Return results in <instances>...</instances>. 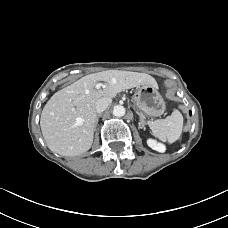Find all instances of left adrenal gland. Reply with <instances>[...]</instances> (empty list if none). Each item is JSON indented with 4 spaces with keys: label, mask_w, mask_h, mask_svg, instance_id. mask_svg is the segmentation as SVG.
Masks as SVG:
<instances>
[{
    "label": "left adrenal gland",
    "mask_w": 228,
    "mask_h": 228,
    "mask_svg": "<svg viewBox=\"0 0 228 228\" xmlns=\"http://www.w3.org/2000/svg\"><path fill=\"white\" fill-rule=\"evenodd\" d=\"M139 118H140L139 125H142V127L145 128L146 122L144 120V117L141 114H139Z\"/></svg>",
    "instance_id": "left-adrenal-gland-1"
}]
</instances>
